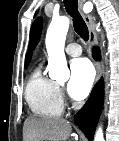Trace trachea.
<instances>
[{"label": "trachea", "instance_id": "obj_1", "mask_svg": "<svg viewBox=\"0 0 119 141\" xmlns=\"http://www.w3.org/2000/svg\"><path fill=\"white\" fill-rule=\"evenodd\" d=\"M64 6L67 13L73 18V25L76 33L79 36H81L84 40H88L89 38L88 27L78 12V1L64 0Z\"/></svg>", "mask_w": 119, "mask_h": 141}]
</instances>
